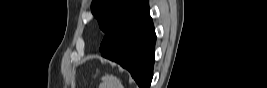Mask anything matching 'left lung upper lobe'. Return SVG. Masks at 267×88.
<instances>
[{
	"mask_svg": "<svg viewBox=\"0 0 267 88\" xmlns=\"http://www.w3.org/2000/svg\"><path fill=\"white\" fill-rule=\"evenodd\" d=\"M144 0H94L91 10L97 18L100 29L109 31L117 21L129 10Z\"/></svg>",
	"mask_w": 267,
	"mask_h": 88,
	"instance_id": "1",
	"label": "left lung upper lobe"
}]
</instances>
